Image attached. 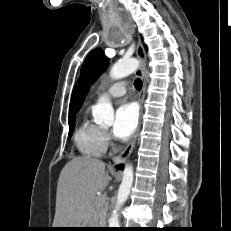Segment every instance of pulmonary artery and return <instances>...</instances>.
<instances>
[{"mask_svg":"<svg viewBox=\"0 0 231 231\" xmlns=\"http://www.w3.org/2000/svg\"><path fill=\"white\" fill-rule=\"evenodd\" d=\"M127 81L121 80L111 84L106 89V95L109 97H120L126 93Z\"/></svg>","mask_w":231,"mask_h":231,"instance_id":"e3ab8cb5","label":"pulmonary artery"}]
</instances>
